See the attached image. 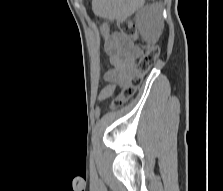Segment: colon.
I'll return each instance as SVG.
<instances>
[{
	"mask_svg": "<svg viewBox=\"0 0 223 191\" xmlns=\"http://www.w3.org/2000/svg\"><path fill=\"white\" fill-rule=\"evenodd\" d=\"M118 27L122 34L126 37L132 40L138 39L137 28L132 22L128 20H121L118 22ZM100 28L103 34L106 33L108 29L107 23H102ZM142 47L144 49V55L137 64V72L131 78L129 84L124 87L122 92L112 102V107L114 109L122 106L136 92V90L142 84L144 75L152 68L159 56L158 47L150 44H144ZM99 63L101 64L102 69H106L108 66V63L105 59H100Z\"/></svg>",
	"mask_w": 223,
	"mask_h": 191,
	"instance_id": "5ec220e1",
	"label": "colon"
}]
</instances>
